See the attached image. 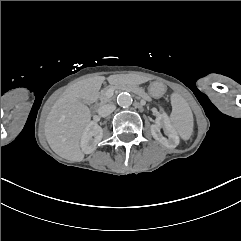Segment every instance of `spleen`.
Listing matches in <instances>:
<instances>
[{"label": "spleen", "mask_w": 241, "mask_h": 241, "mask_svg": "<svg viewBox=\"0 0 241 241\" xmlns=\"http://www.w3.org/2000/svg\"><path fill=\"white\" fill-rule=\"evenodd\" d=\"M169 98L170 103L172 104L170 121L179 136L183 140H189L193 133L194 125L192 111L188 103L178 92H171Z\"/></svg>", "instance_id": "obj_1"}]
</instances>
